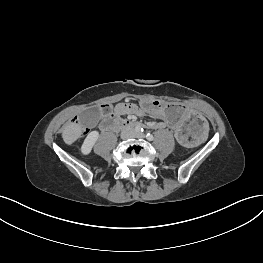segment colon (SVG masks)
<instances>
[{"mask_svg":"<svg viewBox=\"0 0 263 263\" xmlns=\"http://www.w3.org/2000/svg\"><path fill=\"white\" fill-rule=\"evenodd\" d=\"M110 106L109 105H103L102 106V112L104 113V114H108L109 112H110Z\"/></svg>","mask_w":263,"mask_h":263,"instance_id":"obj_1","label":"colon"}]
</instances>
